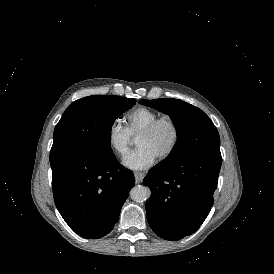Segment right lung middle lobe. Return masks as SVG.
I'll use <instances>...</instances> for the list:
<instances>
[{"label":"right lung middle lobe","mask_w":274,"mask_h":274,"mask_svg":"<svg viewBox=\"0 0 274 274\" xmlns=\"http://www.w3.org/2000/svg\"><path fill=\"white\" fill-rule=\"evenodd\" d=\"M135 103L136 99L113 95L88 96L73 102L55 127L50 164L75 156L112 154V125Z\"/></svg>","instance_id":"dd1d6c3e"}]
</instances>
